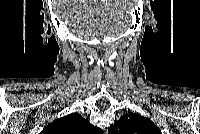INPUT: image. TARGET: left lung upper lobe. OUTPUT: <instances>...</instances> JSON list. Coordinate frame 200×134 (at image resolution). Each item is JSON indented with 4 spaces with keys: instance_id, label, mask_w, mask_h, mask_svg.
Instances as JSON below:
<instances>
[{
    "instance_id": "obj_1",
    "label": "left lung upper lobe",
    "mask_w": 200,
    "mask_h": 134,
    "mask_svg": "<svg viewBox=\"0 0 200 134\" xmlns=\"http://www.w3.org/2000/svg\"><path fill=\"white\" fill-rule=\"evenodd\" d=\"M108 134H161V131L150 119L129 113L110 126Z\"/></svg>"
}]
</instances>
